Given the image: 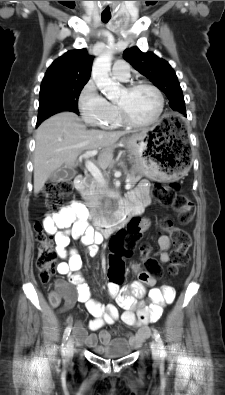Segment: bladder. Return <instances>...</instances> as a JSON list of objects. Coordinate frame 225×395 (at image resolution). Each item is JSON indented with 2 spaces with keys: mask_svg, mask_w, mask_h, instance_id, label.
<instances>
[{
  "mask_svg": "<svg viewBox=\"0 0 225 395\" xmlns=\"http://www.w3.org/2000/svg\"><path fill=\"white\" fill-rule=\"evenodd\" d=\"M95 351L102 357L119 358L130 354L133 346L124 338H115L104 346H98Z\"/></svg>",
  "mask_w": 225,
  "mask_h": 395,
  "instance_id": "31cf9c89",
  "label": "bladder"
}]
</instances>
